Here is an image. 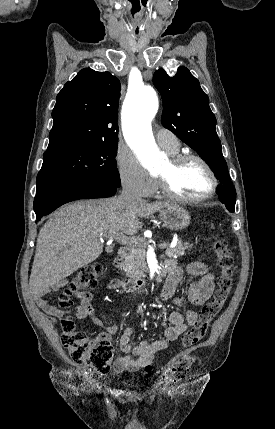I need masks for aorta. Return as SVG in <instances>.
<instances>
[{
  "instance_id": "aorta-1",
  "label": "aorta",
  "mask_w": 275,
  "mask_h": 429,
  "mask_svg": "<svg viewBox=\"0 0 275 429\" xmlns=\"http://www.w3.org/2000/svg\"><path fill=\"white\" fill-rule=\"evenodd\" d=\"M158 108L159 100L154 89L140 85L130 90L122 109L124 137L150 172L158 171L161 165V154L151 129Z\"/></svg>"
}]
</instances>
